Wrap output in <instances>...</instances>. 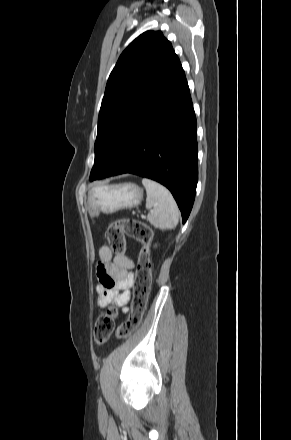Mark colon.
Returning <instances> with one entry per match:
<instances>
[{
  "mask_svg": "<svg viewBox=\"0 0 291 440\" xmlns=\"http://www.w3.org/2000/svg\"><path fill=\"white\" fill-rule=\"evenodd\" d=\"M125 233L141 242L142 248L139 253L138 264L135 271L136 280L131 312L129 318L122 323L116 331L119 338L130 336L141 324L152 285L150 264L152 234L150 229L135 219L120 218L113 221L107 228L106 237L115 255L122 256L125 254ZM113 285V281H109L108 286L113 287ZM116 314L117 307L113 303H110L106 312L96 319L93 336L97 344H104L110 337L114 328Z\"/></svg>",
  "mask_w": 291,
  "mask_h": 440,
  "instance_id": "colon-1",
  "label": "colon"
}]
</instances>
